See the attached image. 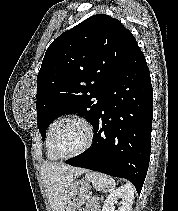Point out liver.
Returning a JSON list of instances; mask_svg holds the SVG:
<instances>
[{"mask_svg": "<svg viewBox=\"0 0 178 211\" xmlns=\"http://www.w3.org/2000/svg\"><path fill=\"white\" fill-rule=\"evenodd\" d=\"M85 172L83 168L62 163L47 162L42 165L41 176L52 211H63L71 183Z\"/></svg>", "mask_w": 178, "mask_h": 211, "instance_id": "1", "label": "liver"}]
</instances>
